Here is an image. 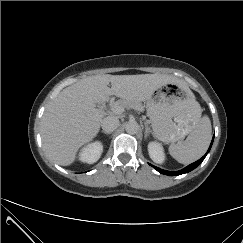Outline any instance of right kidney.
Returning <instances> with one entry per match:
<instances>
[{
  "label": "right kidney",
  "instance_id": "ca27d5eb",
  "mask_svg": "<svg viewBox=\"0 0 243 243\" xmlns=\"http://www.w3.org/2000/svg\"><path fill=\"white\" fill-rule=\"evenodd\" d=\"M102 152V143L100 141H95L88 144L81 150L79 154V160L84 163L93 164L99 160Z\"/></svg>",
  "mask_w": 243,
  "mask_h": 243
}]
</instances>
